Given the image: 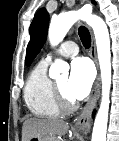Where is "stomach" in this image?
<instances>
[{"instance_id": "obj_1", "label": "stomach", "mask_w": 119, "mask_h": 141, "mask_svg": "<svg viewBox=\"0 0 119 141\" xmlns=\"http://www.w3.org/2000/svg\"><path fill=\"white\" fill-rule=\"evenodd\" d=\"M59 138L56 136H34L28 141H60Z\"/></svg>"}]
</instances>
